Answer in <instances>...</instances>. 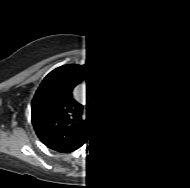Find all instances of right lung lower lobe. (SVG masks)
<instances>
[{
  "label": "right lung lower lobe",
  "instance_id": "obj_1",
  "mask_svg": "<svg viewBox=\"0 0 190 188\" xmlns=\"http://www.w3.org/2000/svg\"><path fill=\"white\" fill-rule=\"evenodd\" d=\"M87 139V138H86ZM86 139H84L83 141H81L79 144H77L76 146H73V147H67V148H64V149H61V150H58L59 152H71L75 149H77L79 146H81L85 141Z\"/></svg>",
  "mask_w": 190,
  "mask_h": 188
}]
</instances>
